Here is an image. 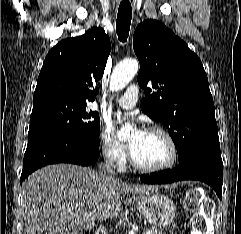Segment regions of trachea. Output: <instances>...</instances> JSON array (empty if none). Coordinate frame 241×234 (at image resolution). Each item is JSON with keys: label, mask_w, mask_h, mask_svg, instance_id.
Listing matches in <instances>:
<instances>
[{"label": "trachea", "mask_w": 241, "mask_h": 234, "mask_svg": "<svg viewBox=\"0 0 241 234\" xmlns=\"http://www.w3.org/2000/svg\"><path fill=\"white\" fill-rule=\"evenodd\" d=\"M132 19V8L128 0H122L120 3L117 20L116 30L118 39L121 42H126L129 36L130 24Z\"/></svg>", "instance_id": "3493384b"}]
</instances>
